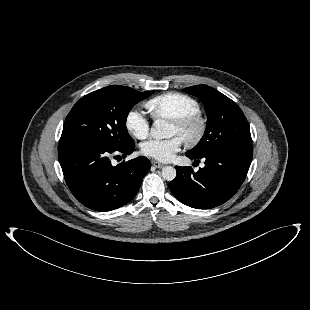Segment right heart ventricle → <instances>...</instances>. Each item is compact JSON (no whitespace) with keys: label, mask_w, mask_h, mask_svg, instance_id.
<instances>
[{"label":"right heart ventricle","mask_w":310,"mask_h":310,"mask_svg":"<svg viewBox=\"0 0 310 310\" xmlns=\"http://www.w3.org/2000/svg\"><path fill=\"white\" fill-rule=\"evenodd\" d=\"M146 107L156 119L172 120L177 117L198 112V102L191 96L179 92H167L151 98Z\"/></svg>","instance_id":"e07e8e85"}]
</instances>
